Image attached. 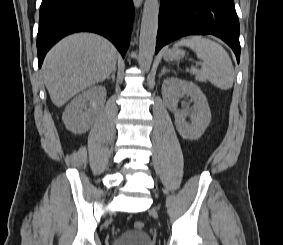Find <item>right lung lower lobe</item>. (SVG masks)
Masks as SVG:
<instances>
[{"mask_svg": "<svg viewBox=\"0 0 283 245\" xmlns=\"http://www.w3.org/2000/svg\"><path fill=\"white\" fill-rule=\"evenodd\" d=\"M133 19L132 0H42L37 35L39 67L56 42L80 31L103 35L124 56Z\"/></svg>", "mask_w": 283, "mask_h": 245, "instance_id": "98d812e1", "label": "right lung lower lobe"}]
</instances>
